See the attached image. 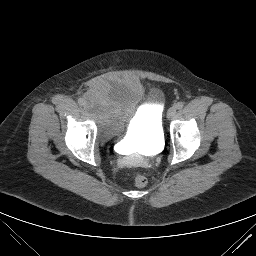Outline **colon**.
I'll use <instances>...</instances> for the list:
<instances>
[{
    "mask_svg": "<svg viewBox=\"0 0 256 256\" xmlns=\"http://www.w3.org/2000/svg\"><path fill=\"white\" fill-rule=\"evenodd\" d=\"M147 184V178L143 174H136L134 176V185L136 187H144Z\"/></svg>",
    "mask_w": 256,
    "mask_h": 256,
    "instance_id": "1",
    "label": "colon"
}]
</instances>
